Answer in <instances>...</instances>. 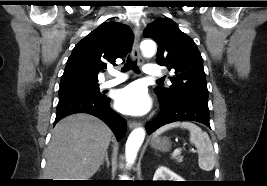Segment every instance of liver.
<instances>
[{
  "instance_id": "6515ba94",
  "label": "liver",
  "mask_w": 267,
  "mask_h": 186,
  "mask_svg": "<svg viewBox=\"0 0 267 186\" xmlns=\"http://www.w3.org/2000/svg\"><path fill=\"white\" fill-rule=\"evenodd\" d=\"M112 137L98 118L80 113L59 121L46 153L44 177L53 180H88L98 170Z\"/></svg>"
}]
</instances>
